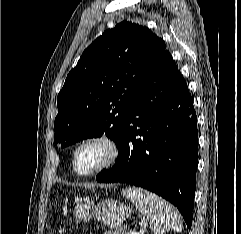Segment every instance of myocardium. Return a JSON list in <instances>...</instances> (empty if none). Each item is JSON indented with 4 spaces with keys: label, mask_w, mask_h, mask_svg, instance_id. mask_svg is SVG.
I'll list each match as a JSON object with an SVG mask.
<instances>
[{
    "label": "myocardium",
    "mask_w": 241,
    "mask_h": 234,
    "mask_svg": "<svg viewBox=\"0 0 241 234\" xmlns=\"http://www.w3.org/2000/svg\"><path fill=\"white\" fill-rule=\"evenodd\" d=\"M91 143H97V144L103 145L107 151L106 158L102 163H100L95 168L89 171H80L77 169V166H76L77 154L82 147ZM119 155H120V148L118 146V143L111 136L105 133L93 134L80 140L74 147L72 152V157H71L72 169L79 176H84V177L92 176L114 165L118 160Z\"/></svg>",
    "instance_id": "1"
}]
</instances>
